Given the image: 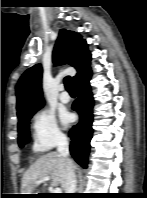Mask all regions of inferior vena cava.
<instances>
[{"mask_svg": "<svg viewBox=\"0 0 147 198\" xmlns=\"http://www.w3.org/2000/svg\"><path fill=\"white\" fill-rule=\"evenodd\" d=\"M57 151L66 163V181L64 185L65 193H75L77 180L74 172V164L69 158V142L67 137H59Z\"/></svg>", "mask_w": 147, "mask_h": 198, "instance_id": "obj_1", "label": "inferior vena cava"}]
</instances>
